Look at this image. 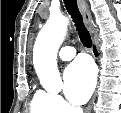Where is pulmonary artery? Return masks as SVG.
I'll return each mask as SVG.
<instances>
[{
  "instance_id": "pulmonary-artery-1",
  "label": "pulmonary artery",
  "mask_w": 121,
  "mask_h": 113,
  "mask_svg": "<svg viewBox=\"0 0 121 113\" xmlns=\"http://www.w3.org/2000/svg\"><path fill=\"white\" fill-rule=\"evenodd\" d=\"M59 58L62 61H70L71 59H73L76 55V50L74 47L72 46H63L60 50H59Z\"/></svg>"
}]
</instances>
